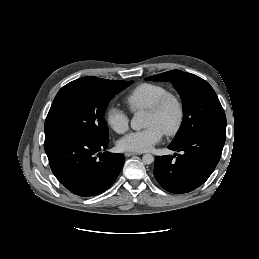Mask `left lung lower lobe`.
I'll return each instance as SVG.
<instances>
[{"label": "left lung lower lobe", "instance_id": "1", "mask_svg": "<svg viewBox=\"0 0 259 259\" xmlns=\"http://www.w3.org/2000/svg\"><path fill=\"white\" fill-rule=\"evenodd\" d=\"M226 135L202 132L191 136L182 144L168 146L183 154L155 157L154 176L169 192L181 194L202 185L218 164ZM175 158V159H174Z\"/></svg>", "mask_w": 259, "mask_h": 259}]
</instances>
